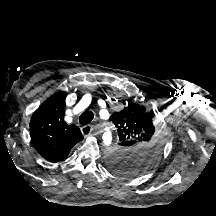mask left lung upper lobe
I'll use <instances>...</instances> for the list:
<instances>
[{"mask_svg": "<svg viewBox=\"0 0 216 216\" xmlns=\"http://www.w3.org/2000/svg\"><path fill=\"white\" fill-rule=\"evenodd\" d=\"M110 120L119 136L118 147L107 160L111 171L134 177L158 164L164 152L163 131L158 119L143 105L129 103Z\"/></svg>", "mask_w": 216, "mask_h": 216, "instance_id": "1", "label": "left lung upper lobe"}]
</instances>
